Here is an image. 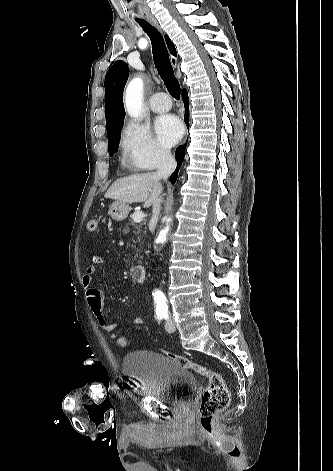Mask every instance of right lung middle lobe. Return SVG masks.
Returning a JSON list of instances; mask_svg holds the SVG:
<instances>
[{
    "mask_svg": "<svg viewBox=\"0 0 333 471\" xmlns=\"http://www.w3.org/2000/svg\"><path fill=\"white\" fill-rule=\"evenodd\" d=\"M122 127L123 122L113 127L111 130L107 131L110 156H112L118 150Z\"/></svg>",
    "mask_w": 333,
    "mask_h": 471,
    "instance_id": "dd1d6c3e",
    "label": "right lung middle lobe"
}]
</instances>
